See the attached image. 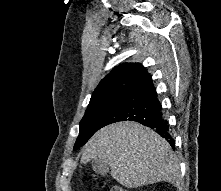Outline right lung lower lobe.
<instances>
[{"mask_svg":"<svg viewBox=\"0 0 221 191\" xmlns=\"http://www.w3.org/2000/svg\"><path fill=\"white\" fill-rule=\"evenodd\" d=\"M127 120L136 121L154 129L168 141L171 147H175L151 78L122 97L106 117L101 128L114 122Z\"/></svg>","mask_w":221,"mask_h":191,"instance_id":"obj_1","label":"right lung lower lobe"}]
</instances>
